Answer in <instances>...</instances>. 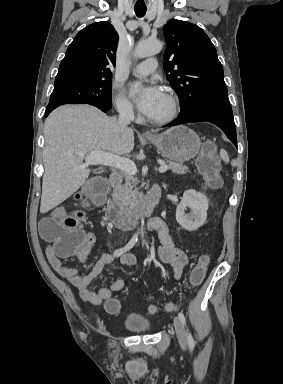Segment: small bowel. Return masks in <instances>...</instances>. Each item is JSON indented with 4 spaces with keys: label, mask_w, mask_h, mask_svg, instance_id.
Masks as SVG:
<instances>
[{
    "label": "small bowel",
    "mask_w": 283,
    "mask_h": 384,
    "mask_svg": "<svg viewBox=\"0 0 283 384\" xmlns=\"http://www.w3.org/2000/svg\"><path fill=\"white\" fill-rule=\"evenodd\" d=\"M65 215V208L58 206L50 213L48 218H62ZM147 227L149 231L158 234L160 245L157 248V256L162 262L167 263L172 267L174 278H179L184 267L188 263L186 253L175 245L170 235L169 228L162 218H151ZM47 241L48 247L46 254L49 263L63 278L68 280L78 290L80 297L85 302L99 305L108 299H112L117 292L124 288L125 281L123 279H117L109 287H103L95 291L91 290L89 287L91 281L98 277L104 268L112 263L114 258L111 254H102L87 275H79L77 268L68 267L63 264L61 256L56 253L54 246L50 241ZM93 241L94 235L89 234L87 244L76 254V257L80 262L86 261ZM136 260V257L130 253H126L120 257V262L123 265H134Z\"/></svg>",
    "instance_id": "c3829d8e"
}]
</instances>
